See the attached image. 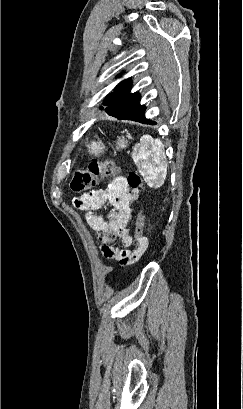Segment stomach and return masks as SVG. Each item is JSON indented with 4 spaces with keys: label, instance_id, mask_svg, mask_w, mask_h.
I'll return each instance as SVG.
<instances>
[{
    "label": "stomach",
    "instance_id": "0dacf381",
    "mask_svg": "<svg viewBox=\"0 0 243 409\" xmlns=\"http://www.w3.org/2000/svg\"><path fill=\"white\" fill-rule=\"evenodd\" d=\"M131 139L130 135L122 136L118 138V141L116 143V148L119 149H124L127 147L128 140ZM88 152L94 156H99L100 154L104 153L105 151V145L101 141H92L90 144L87 145Z\"/></svg>",
    "mask_w": 243,
    "mask_h": 409
}]
</instances>
